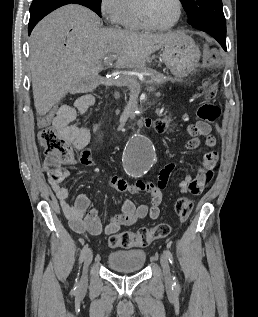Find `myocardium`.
Instances as JSON below:
<instances>
[{"label":"myocardium","instance_id":"myocardium-1","mask_svg":"<svg viewBox=\"0 0 258 317\" xmlns=\"http://www.w3.org/2000/svg\"><path fill=\"white\" fill-rule=\"evenodd\" d=\"M153 1L155 0H142V2L140 3L138 8V21H139L140 27L146 31H167L169 29L174 28L182 16L181 0H174L175 3L177 4V9H178L177 17L170 25H167V26H153L149 23L147 19V10Z\"/></svg>","mask_w":258,"mask_h":317}]
</instances>
